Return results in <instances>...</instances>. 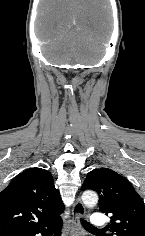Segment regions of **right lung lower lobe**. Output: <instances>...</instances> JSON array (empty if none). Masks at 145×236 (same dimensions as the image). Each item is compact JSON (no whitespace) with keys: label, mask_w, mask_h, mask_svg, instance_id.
<instances>
[{"label":"right lung lower lobe","mask_w":145,"mask_h":236,"mask_svg":"<svg viewBox=\"0 0 145 236\" xmlns=\"http://www.w3.org/2000/svg\"><path fill=\"white\" fill-rule=\"evenodd\" d=\"M61 224H62V220L61 218H59L55 220L54 222H51L40 229L24 232V233L10 234L7 236H35L38 233H41L42 236H60L59 227L61 226Z\"/></svg>","instance_id":"1"}]
</instances>
